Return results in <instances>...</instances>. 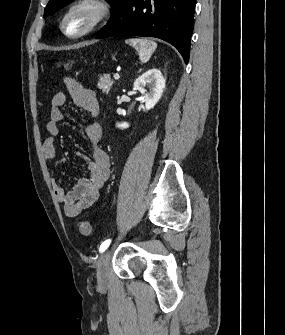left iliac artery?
I'll return each instance as SVG.
<instances>
[{
	"mask_svg": "<svg viewBox=\"0 0 285 335\" xmlns=\"http://www.w3.org/2000/svg\"><path fill=\"white\" fill-rule=\"evenodd\" d=\"M110 242H111L110 239L104 241V242L101 244V246H100V248H99V251H100L101 253L104 252V251L109 247Z\"/></svg>",
	"mask_w": 285,
	"mask_h": 335,
	"instance_id": "1",
	"label": "left iliac artery"
}]
</instances>
